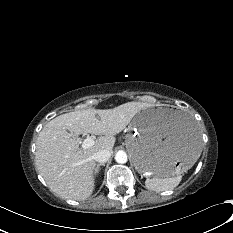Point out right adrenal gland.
Masks as SVG:
<instances>
[{
  "mask_svg": "<svg viewBox=\"0 0 233 233\" xmlns=\"http://www.w3.org/2000/svg\"><path fill=\"white\" fill-rule=\"evenodd\" d=\"M101 166H105V164H104V163L98 164V165L96 166V168H95V171H94L95 174L98 173V171H99V169H100Z\"/></svg>",
  "mask_w": 233,
  "mask_h": 233,
  "instance_id": "1",
  "label": "right adrenal gland"
}]
</instances>
